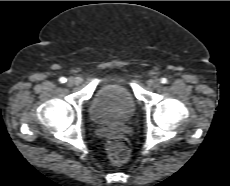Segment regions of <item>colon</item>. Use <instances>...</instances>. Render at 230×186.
<instances>
[{
	"label": "colon",
	"mask_w": 230,
	"mask_h": 186,
	"mask_svg": "<svg viewBox=\"0 0 230 186\" xmlns=\"http://www.w3.org/2000/svg\"><path fill=\"white\" fill-rule=\"evenodd\" d=\"M106 152L111 164L121 165L130 156L129 142L124 136L111 137L106 142Z\"/></svg>",
	"instance_id": "1"
}]
</instances>
